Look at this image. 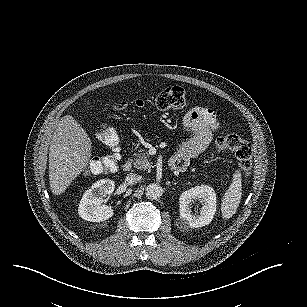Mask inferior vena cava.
Wrapping results in <instances>:
<instances>
[{
	"mask_svg": "<svg viewBox=\"0 0 307 307\" xmlns=\"http://www.w3.org/2000/svg\"><path fill=\"white\" fill-rule=\"evenodd\" d=\"M125 182L128 185H134L138 182V175L136 173H129L125 178Z\"/></svg>",
	"mask_w": 307,
	"mask_h": 307,
	"instance_id": "obj_1",
	"label": "inferior vena cava"
}]
</instances>
